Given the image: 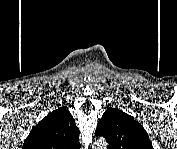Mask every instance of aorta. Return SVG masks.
Returning <instances> with one entry per match:
<instances>
[{
  "mask_svg": "<svg viewBox=\"0 0 177 149\" xmlns=\"http://www.w3.org/2000/svg\"><path fill=\"white\" fill-rule=\"evenodd\" d=\"M106 142H105V140H103V139H100L98 142H97V147L99 148V147H106Z\"/></svg>",
  "mask_w": 177,
  "mask_h": 149,
  "instance_id": "aorta-1",
  "label": "aorta"
}]
</instances>
